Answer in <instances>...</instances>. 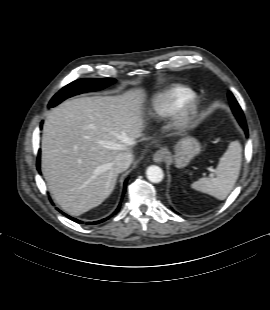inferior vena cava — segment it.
<instances>
[{
  "instance_id": "inferior-vena-cava-1",
  "label": "inferior vena cava",
  "mask_w": 270,
  "mask_h": 310,
  "mask_svg": "<svg viewBox=\"0 0 270 310\" xmlns=\"http://www.w3.org/2000/svg\"><path fill=\"white\" fill-rule=\"evenodd\" d=\"M133 142L132 144H134ZM133 161V156L131 152H121L119 153L114 160V168L116 172L121 173L129 168Z\"/></svg>"
}]
</instances>
